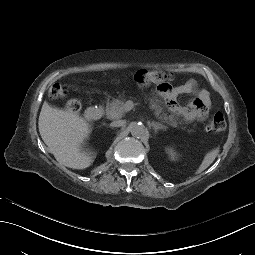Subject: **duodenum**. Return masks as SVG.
Returning <instances> with one entry per match:
<instances>
[{"label": "duodenum", "mask_w": 255, "mask_h": 255, "mask_svg": "<svg viewBox=\"0 0 255 255\" xmlns=\"http://www.w3.org/2000/svg\"><path fill=\"white\" fill-rule=\"evenodd\" d=\"M102 114H103L102 108L97 107V106L96 107L91 106L85 112L86 118L91 120V121H95V120L100 119Z\"/></svg>", "instance_id": "duodenum-1"}]
</instances>
